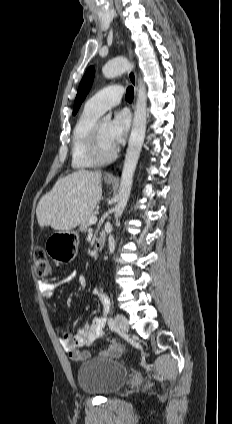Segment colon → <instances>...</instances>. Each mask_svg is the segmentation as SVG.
<instances>
[{"instance_id": "colon-1", "label": "colon", "mask_w": 232, "mask_h": 424, "mask_svg": "<svg viewBox=\"0 0 232 424\" xmlns=\"http://www.w3.org/2000/svg\"><path fill=\"white\" fill-rule=\"evenodd\" d=\"M33 258L36 275L41 278H50L52 276L53 269L44 249H35ZM105 343L112 345L117 352H124L123 346L118 343V340L113 336L105 338Z\"/></svg>"}]
</instances>
